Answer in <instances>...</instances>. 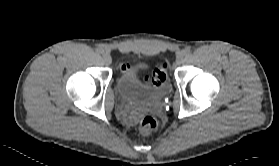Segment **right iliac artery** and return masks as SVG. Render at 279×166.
Instances as JSON below:
<instances>
[{
    "mask_svg": "<svg viewBox=\"0 0 279 166\" xmlns=\"http://www.w3.org/2000/svg\"><path fill=\"white\" fill-rule=\"evenodd\" d=\"M96 52H97L98 54H101V53L104 52V50H103L102 48H97V49H96Z\"/></svg>",
    "mask_w": 279,
    "mask_h": 166,
    "instance_id": "obj_1",
    "label": "right iliac artery"
}]
</instances>
